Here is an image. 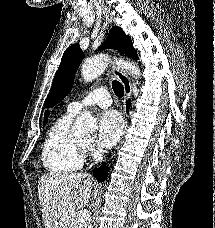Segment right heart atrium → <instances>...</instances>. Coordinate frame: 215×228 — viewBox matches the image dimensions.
<instances>
[{
	"label": "right heart atrium",
	"mask_w": 215,
	"mask_h": 228,
	"mask_svg": "<svg viewBox=\"0 0 215 228\" xmlns=\"http://www.w3.org/2000/svg\"><path fill=\"white\" fill-rule=\"evenodd\" d=\"M86 157H94L97 154V151L92 146H86L83 150Z\"/></svg>",
	"instance_id": "right-heart-atrium-1"
}]
</instances>
